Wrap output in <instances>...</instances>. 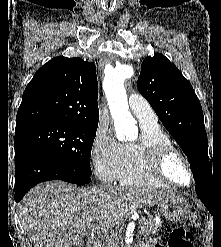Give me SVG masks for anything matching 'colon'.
Masks as SVG:
<instances>
[{"label":"colon","mask_w":221,"mask_h":247,"mask_svg":"<svg viewBox=\"0 0 221 247\" xmlns=\"http://www.w3.org/2000/svg\"><path fill=\"white\" fill-rule=\"evenodd\" d=\"M196 226H198V215L192 213L186 216L183 225L173 229L168 240V247H191L192 234L189 229Z\"/></svg>","instance_id":"5ec220e1"}]
</instances>
